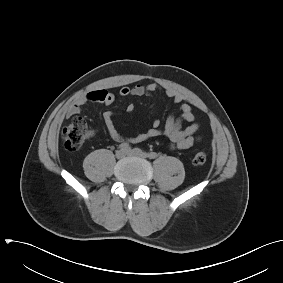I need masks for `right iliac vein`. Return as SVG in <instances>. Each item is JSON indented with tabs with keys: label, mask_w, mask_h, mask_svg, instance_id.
I'll list each match as a JSON object with an SVG mask.
<instances>
[{
	"label": "right iliac vein",
	"mask_w": 283,
	"mask_h": 283,
	"mask_svg": "<svg viewBox=\"0 0 283 283\" xmlns=\"http://www.w3.org/2000/svg\"><path fill=\"white\" fill-rule=\"evenodd\" d=\"M125 155H126V151H124V150L116 151V158L117 159H121V158L125 157Z\"/></svg>",
	"instance_id": "1"
}]
</instances>
